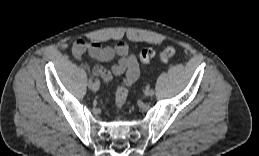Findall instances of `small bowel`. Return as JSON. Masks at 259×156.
Returning a JSON list of instances; mask_svg holds the SVG:
<instances>
[{
  "mask_svg": "<svg viewBox=\"0 0 259 156\" xmlns=\"http://www.w3.org/2000/svg\"><path fill=\"white\" fill-rule=\"evenodd\" d=\"M72 53L76 59L88 54L93 59L103 62H111L115 57H118V61L110 69H105L101 66H95L92 69L93 74L101 77L105 83H108L113 76L126 73L122 83L130 86L139 76L137 59L130 52V48L126 43L121 42L114 47H102L98 42L78 40L72 46Z\"/></svg>",
  "mask_w": 259,
  "mask_h": 156,
  "instance_id": "1",
  "label": "small bowel"
}]
</instances>
